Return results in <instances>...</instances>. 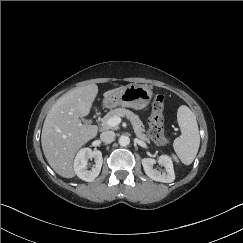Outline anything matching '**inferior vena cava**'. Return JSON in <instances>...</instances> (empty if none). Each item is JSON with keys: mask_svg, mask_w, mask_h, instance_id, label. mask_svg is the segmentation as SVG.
I'll return each instance as SVG.
<instances>
[{"mask_svg": "<svg viewBox=\"0 0 243 243\" xmlns=\"http://www.w3.org/2000/svg\"><path fill=\"white\" fill-rule=\"evenodd\" d=\"M115 138V133L113 131H104L100 134L101 141L105 143L111 142Z\"/></svg>", "mask_w": 243, "mask_h": 243, "instance_id": "inferior-vena-cava-1", "label": "inferior vena cava"}]
</instances>
